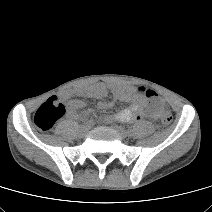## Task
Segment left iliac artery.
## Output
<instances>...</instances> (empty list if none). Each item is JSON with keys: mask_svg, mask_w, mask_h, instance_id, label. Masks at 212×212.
Wrapping results in <instances>:
<instances>
[{"mask_svg": "<svg viewBox=\"0 0 212 212\" xmlns=\"http://www.w3.org/2000/svg\"><path fill=\"white\" fill-rule=\"evenodd\" d=\"M128 131H129V132H131L132 130H131V129H129Z\"/></svg>", "mask_w": 212, "mask_h": 212, "instance_id": "44dca946", "label": "left iliac artery"}]
</instances>
